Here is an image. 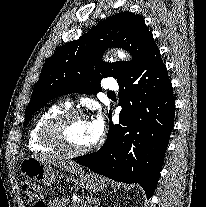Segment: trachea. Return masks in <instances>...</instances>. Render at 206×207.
Listing matches in <instances>:
<instances>
[{"label":"trachea","instance_id":"1","mask_svg":"<svg viewBox=\"0 0 206 207\" xmlns=\"http://www.w3.org/2000/svg\"><path fill=\"white\" fill-rule=\"evenodd\" d=\"M114 94V92H108V95Z\"/></svg>","mask_w":206,"mask_h":207}]
</instances>
